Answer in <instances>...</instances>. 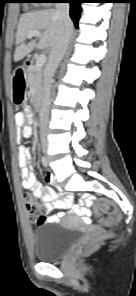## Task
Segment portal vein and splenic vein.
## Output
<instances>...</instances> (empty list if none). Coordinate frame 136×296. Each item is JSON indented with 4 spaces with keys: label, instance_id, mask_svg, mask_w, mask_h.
I'll list each match as a JSON object with an SVG mask.
<instances>
[{
    "label": "portal vein and splenic vein",
    "instance_id": "1",
    "mask_svg": "<svg viewBox=\"0 0 136 296\" xmlns=\"http://www.w3.org/2000/svg\"><path fill=\"white\" fill-rule=\"evenodd\" d=\"M28 38H31V37H40L41 36V33L39 31H36V30H33V31H30L28 32L27 34ZM46 62V55L44 53H41L40 55H38V57L36 58V68L38 70H40L43 65L45 64Z\"/></svg>",
    "mask_w": 136,
    "mask_h": 296
}]
</instances>
